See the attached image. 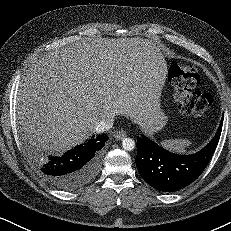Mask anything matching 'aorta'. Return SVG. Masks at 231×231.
<instances>
[{
    "instance_id": "aorta-1",
    "label": "aorta",
    "mask_w": 231,
    "mask_h": 231,
    "mask_svg": "<svg viewBox=\"0 0 231 231\" xmlns=\"http://www.w3.org/2000/svg\"><path fill=\"white\" fill-rule=\"evenodd\" d=\"M122 147L124 150L131 151L135 148V141L132 138H124Z\"/></svg>"
}]
</instances>
